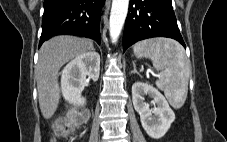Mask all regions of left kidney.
<instances>
[{"label": "left kidney", "mask_w": 227, "mask_h": 142, "mask_svg": "<svg viewBox=\"0 0 227 142\" xmlns=\"http://www.w3.org/2000/svg\"><path fill=\"white\" fill-rule=\"evenodd\" d=\"M145 95L153 98L156 105L153 110H150L149 104L144 102ZM132 101L146 133L154 139L163 137L175 120V114L165 97L153 86L135 82L132 86Z\"/></svg>", "instance_id": "left-kidney-1"}]
</instances>
